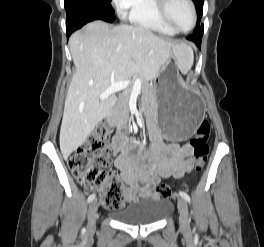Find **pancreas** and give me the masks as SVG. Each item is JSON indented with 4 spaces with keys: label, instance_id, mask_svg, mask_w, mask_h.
<instances>
[{
    "label": "pancreas",
    "instance_id": "cf45deb5",
    "mask_svg": "<svg viewBox=\"0 0 264 247\" xmlns=\"http://www.w3.org/2000/svg\"><path fill=\"white\" fill-rule=\"evenodd\" d=\"M140 79L142 80V85H141L142 92L146 96H148L151 99V101H154L155 95L153 93L152 87L147 82L143 81L142 78ZM132 90H133L132 85L126 88V90L119 96L118 101L114 107L113 116H114V120L118 124H126L129 120L130 117L129 98Z\"/></svg>",
    "mask_w": 264,
    "mask_h": 247
}]
</instances>
